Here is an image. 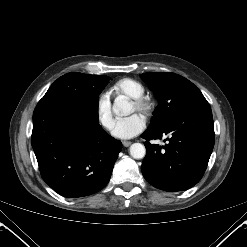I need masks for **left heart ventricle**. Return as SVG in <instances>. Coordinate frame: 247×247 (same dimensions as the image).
<instances>
[{
  "mask_svg": "<svg viewBox=\"0 0 247 247\" xmlns=\"http://www.w3.org/2000/svg\"><path fill=\"white\" fill-rule=\"evenodd\" d=\"M136 109H135V107H134V105H132V111H135Z\"/></svg>",
  "mask_w": 247,
  "mask_h": 247,
  "instance_id": "b2bd125f",
  "label": "left heart ventricle"
}]
</instances>
